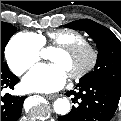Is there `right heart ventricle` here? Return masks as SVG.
Here are the masks:
<instances>
[{
  "mask_svg": "<svg viewBox=\"0 0 121 121\" xmlns=\"http://www.w3.org/2000/svg\"><path fill=\"white\" fill-rule=\"evenodd\" d=\"M35 37L40 43L41 48H47L49 46L59 45H71L84 42V38L72 32L66 31H50L45 34L42 33H28Z\"/></svg>",
  "mask_w": 121,
  "mask_h": 121,
  "instance_id": "obj_1",
  "label": "right heart ventricle"
}]
</instances>
